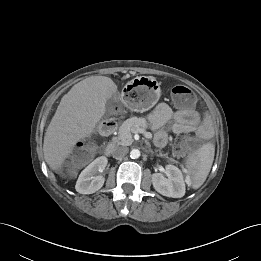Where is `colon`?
Here are the masks:
<instances>
[{
    "instance_id": "1",
    "label": "colon",
    "mask_w": 261,
    "mask_h": 261,
    "mask_svg": "<svg viewBox=\"0 0 261 261\" xmlns=\"http://www.w3.org/2000/svg\"><path fill=\"white\" fill-rule=\"evenodd\" d=\"M171 94L175 103L181 107H191L196 100L194 92L184 85L174 86L171 89ZM193 146L194 143L183 135L177 137L174 142V149L179 153L188 152ZM91 155L92 146L89 143H86L73 151L71 160L74 163H82L87 161Z\"/></svg>"
}]
</instances>
